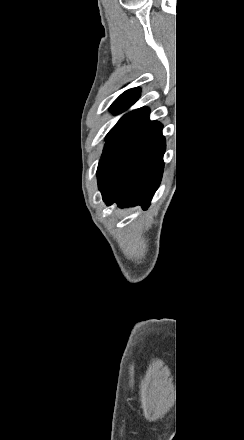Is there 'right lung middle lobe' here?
<instances>
[{"instance_id":"1","label":"right lung middle lobe","mask_w":244,"mask_h":440,"mask_svg":"<svg viewBox=\"0 0 244 440\" xmlns=\"http://www.w3.org/2000/svg\"><path fill=\"white\" fill-rule=\"evenodd\" d=\"M136 100L137 99H117L112 104L111 111L114 112L115 114L121 113V112L125 111L126 109H128ZM110 132H109V134H110ZM108 135H107V137H108Z\"/></svg>"}]
</instances>
